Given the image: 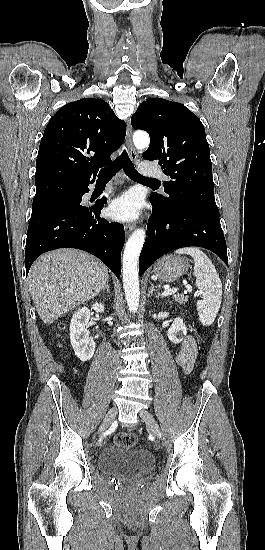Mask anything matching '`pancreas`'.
I'll return each instance as SVG.
<instances>
[{"mask_svg":"<svg viewBox=\"0 0 265 550\" xmlns=\"http://www.w3.org/2000/svg\"><path fill=\"white\" fill-rule=\"evenodd\" d=\"M173 299L180 304H185L188 301V297L182 294H174Z\"/></svg>","mask_w":265,"mask_h":550,"instance_id":"pancreas-1","label":"pancreas"}]
</instances>
